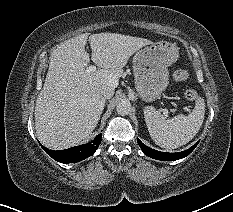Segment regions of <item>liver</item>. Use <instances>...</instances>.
Here are the masks:
<instances>
[{"instance_id": "1", "label": "liver", "mask_w": 233, "mask_h": 212, "mask_svg": "<svg viewBox=\"0 0 233 212\" xmlns=\"http://www.w3.org/2000/svg\"><path fill=\"white\" fill-rule=\"evenodd\" d=\"M91 60L100 67L87 72ZM152 41L117 33H87L62 42L50 56L49 69L35 106L39 141L53 150L80 144L95 129L105 106L99 89L118 86L123 67L140 48Z\"/></svg>"}]
</instances>
